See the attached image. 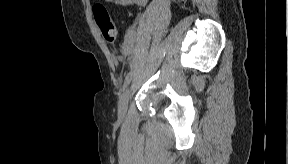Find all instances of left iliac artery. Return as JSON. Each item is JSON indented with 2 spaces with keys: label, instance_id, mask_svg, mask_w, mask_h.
Here are the masks:
<instances>
[{
  "label": "left iliac artery",
  "instance_id": "1",
  "mask_svg": "<svg viewBox=\"0 0 288 164\" xmlns=\"http://www.w3.org/2000/svg\"><path fill=\"white\" fill-rule=\"evenodd\" d=\"M131 79H132V73H128L124 80L123 88H126L130 84Z\"/></svg>",
  "mask_w": 288,
  "mask_h": 164
}]
</instances>
